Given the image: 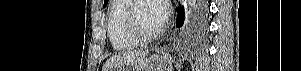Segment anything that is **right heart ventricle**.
Masks as SVG:
<instances>
[{"mask_svg":"<svg viewBox=\"0 0 301 71\" xmlns=\"http://www.w3.org/2000/svg\"><path fill=\"white\" fill-rule=\"evenodd\" d=\"M130 0H114L109 8L107 17V33L113 49L125 51L140 45L133 39L125 25V13Z\"/></svg>","mask_w":301,"mask_h":71,"instance_id":"1","label":"right heart ventricle"}]
</instances>
